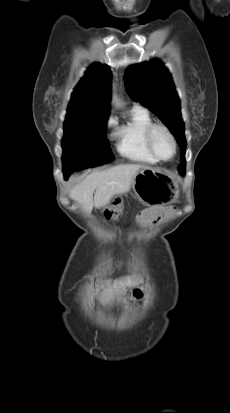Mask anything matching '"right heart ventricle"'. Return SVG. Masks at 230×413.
<instances>
[{
	"label": "right heart ventricle",
	"mask_w": 230,
	"mask_h": 413,
	"mask_svg": "<svg viewBox=\"0 0 230 413\" xmlns=\"http://www.w3.org/2000/svg\"><path fill=\"white\" fill-rule=\"evenodd\" d=\"M153 123L149 112L141 107L131 110L128 121L116 128V148L118 153L129 160L155 164L157 160L149 152L145 142L146 129Z\"/></svg>",
	"instance_id": "1"
}]
</instances>
